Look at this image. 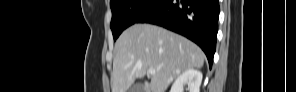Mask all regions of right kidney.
Here are the masks:
<instances>
[{
	"label": "right kidney",
	"mask_w": 296,
	"mask_h": 92,
	"mask_svg": "<svg viewBox=\"0 0 296 92\" xmlns=\"http://www.w3.org/2000/svg\"><path fill=\"white\" fill-rule=\"evenodd\" d=\"M202 82V73L196 69L183 71L174 81L170 92H184V84H188V92H199Z\"/></svg>",
	"instance_id": "right-kidney-1"
}]
</instances>
